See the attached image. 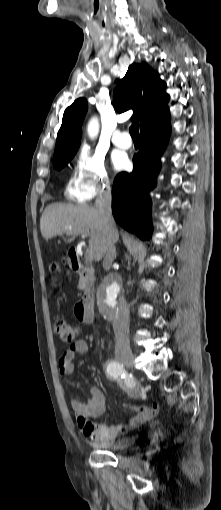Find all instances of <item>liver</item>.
Wrapping results in <instances>:
<instances>
[{"mask_svg": "<svg viewBox=\"0 0 221 510\" xmlns=\"http://www.w3.org/2000/svg\"><path fill=\"white\" fill-rule=\"evenodd\" d=\"M71 228V229H69ZM40 230L44 239L55 236H75L84 232L89 237V249L94 251L96 261H100L107 252L109 237L103 226L101 215L96 207L86 204L72 205L52 203L48 205L40 219ZM119 237H116L117 241ZM72 239H68L71 241Z\"/></svg>", "mask_w": 221, "mask_h": 510, "instance_id": "obj_1", "label": "liver"}]
</instances>
